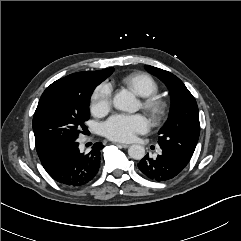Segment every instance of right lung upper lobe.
<instances>
[{"instance_id":"cb5924a9","label":"right lung upper lobe","mask_w":241,"mask_h":241,"mask_svg":"<svg viewBox=\"0 0 241 241\" xmlns=\"http://www.w3.org/2000/svg\"><path fill=\"white\" fill-rule=\"evenodd\" d=\"M113 70H114L113 68H108L100 71H85V72L71 74L69 76H66L52 83L49 87L46 88L43 94H45L49 89H51L53 86L57 84L68 83V84L74 85L84 79L105 80L113 72Z\"/></svg>"}]
</instances>
